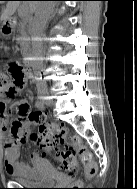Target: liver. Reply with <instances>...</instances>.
<instances>
[{"label": "liver", "instance_id": "6515ba94", "mask_svg": "<svg viewBox=\"0 0 137 189\" xmlns=\"http://www.w3.org/2000/svg\"><path fill=\"white\" fill-rule=\"evenodd\" d=\"M20 2L19 1H9L7 2L6 8L2 12L1 21H5L9 19L16 11V9L19 7ZM43 6L42 2H30L29 7L31 11L36 12L39 8Z\"/></svg>", "mask_w": 137, "mask_h": 189}]
</instances>
